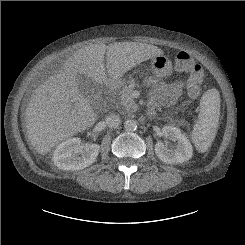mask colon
Listing matches in <instances>:
<instances>
[{"label":"colon","instance_id":"colon-1","mask_svg":"<svg viewBox=\"0 0 245 245\" xmlns=\"http://www.w3.org/2000/svg\"><path fill=\"white\" fill-rule=\"evenodd\" d=\"M175 66L187 75V94L192 98L198 97L204 80V71L201 66L195 62L193 56L186 50H181L176 54Z\"/></svg>","mask_w":245,"mask_h":245}]
</instances>
